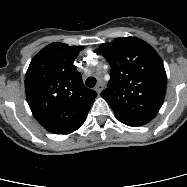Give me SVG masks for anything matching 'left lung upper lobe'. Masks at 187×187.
I'll list each match as a JSON object with an SVG mask.
<instances>
[{
    "mask_svg": "<svg viewBox=\"0 0 187 187\" xmlns=\"http://www.w3.org/2000/svg\"><path fill=\"white\" fill-rule=\"evenodd\" d=\"M111 66L101 96L120 122L138 127L150 122L165 98L167 76L158 53L136 37L117 38L100 46Z\"/></svg>",
    "mask_w": 187,
    "mask_h": 187,
    "instance_id": "1",
    "label": "left lung upper lobe"
}]
</instances>
